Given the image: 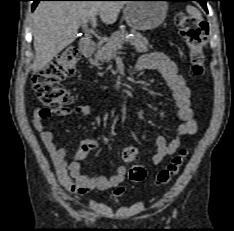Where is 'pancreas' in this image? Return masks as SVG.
Here are the masks:
<instances>
[{"instance_id": "cf45deb5", "label": "pancreas", "mask_w": 234, "mask_h": 231, "mask_svg": "<svg viewBox=\"0 0 234 231\" xmlns=\"http://www.w3.org/2000/svg\"><path fill=\"white\" fill-rule=\"evenodd\" d=\"M134 37H130L126 40L127 33L124 29H121L115 33H113L106 40V44L99 47L97 53L95 54V58L92 61V64L97 65L98 61L105 62L110 61L113 57L116 56L117 51L122 48V45L125 42L130 43L134 46L135 50L140 53L149 51V43L146 38H144L141 34L131 31Z\"/></svg>"}]
</instances>
